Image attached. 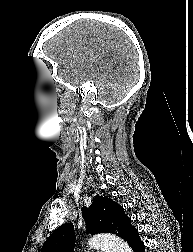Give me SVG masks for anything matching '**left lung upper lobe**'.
I'll list each match as a JSON object with an SVG mask.
<instances>
[{
	"label": "left lung upper lobe",
	"instance_id": "left-lung-upper-lobe-1",
	"mask_svg": "<svg viewBox=\"0 0 193 252\" xmlns=\"http://www.w3.org/2000/svg\"><path fill=\"white\" fill-rule=\"evenodd\" d=\"M82 213L90 234L113 233L127 241L134 229L123 207L107 196L97 195L89 208H82ZM74 246V226L66 223L53 231L43 244L41 252H73Z\"/></svg>",
	"mask_w": 193,
	"mask_h": 252
}]
</instances>
